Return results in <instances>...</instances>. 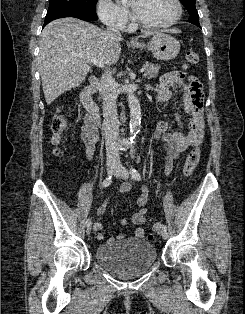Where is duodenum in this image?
Wrapping results in <instances>:
<instances>
[{"instance_id": "1", "label": "duodenum", "mask_w": 245, "mask_h": 314, "mask_svg": "<svg viewBox=\"0 0 245 314\" xmlns=\"http://www.w3.org/2000/svg\"><path fill=\"white\" fill-rule=\"evenodd\" d=\"M98 78L96 76H92L89 79L87 85L81 90L80 99L84 107L88 111V117L92 121L94 126L101 125V114L98 105L93 99V94L95 93L98 86Z\"/></svg>"}]
</instances>
